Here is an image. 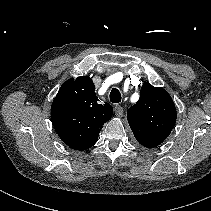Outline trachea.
I'll return each instance as SVG.
<instances>
[{
    "mask_svg": "<svg viewBox=\"0 0 211 211\" xmlns=\"http://www.w3.org/2000/svg\"><path fill=\"white\" fill-rule=\"evenodd\" d=\"M110 101L112 103H120L121 102V93L118 89L113 88L110 92Z\"/></svg>",
    "mask_w": 211,
    "mask_h": 211,
    "instance_id": "1",
    "label": "trachea"
}]
</instances>
